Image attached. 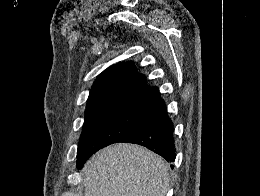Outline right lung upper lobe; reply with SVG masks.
Wrapping results in <instances>:
<instances>
[{
    "instance_id": "obj_1",
    "label": "right lung upper lobe",
    "mask_w": 260,
    "mask_h": 196,
    "mask_svg": "<svg viewBox=\"0 0 260 196\" xmlns=\"http://www.w3.org/2000/svg\"><path fill=\"white\" fill-rule=\"evenodd\" d=\"M157 87H148L133 62L119 63L102 72L92 87L87 106L134 104L146 107L159 99Z\"/></svg>"
}]
</instances>
